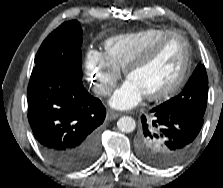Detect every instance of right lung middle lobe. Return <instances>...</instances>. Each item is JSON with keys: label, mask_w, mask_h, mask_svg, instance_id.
<instances>
[{"label": "right lung middle lobe", "mask_w": 223, "mask_h": 188, "mask_svg": "<svg viewBox=\"0 0 223 188\" xmlns=\"http://www.w3.org/2000/svg\"><path fill=\"white\" fill-rule=\"evenodd\" d=\"M82 29L78 21H68L54 30L40 46L32 72L59 73L82 83Z\"/></svg>", "instance_id": "1"}]
</instances>
